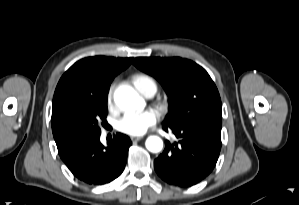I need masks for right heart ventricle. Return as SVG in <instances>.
<instances>
[{"mask_svg":"<svg viewBox=\"0 0 299 205\" xmlns=\"http://www.w3.org/2000/svg\"><path fill=\"white\" fill-rule=\"evenodd\" d=\"M132 83L135 88L143 95H146L147 91L151 88L155 91L157 90V85L154 79L146 74L134 75L132 77Z\"/></svg>","mask_w":299,"mask_h":205,"instance_id":"1","label":"right heart ventricle"}]
</instances>
